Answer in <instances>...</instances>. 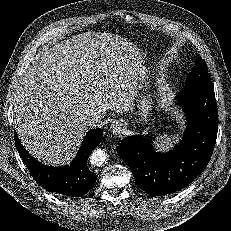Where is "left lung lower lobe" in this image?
<instances>
[{
    "mask_svg": "<svg viewBox=\"0 0 231 231\" xmlns=\"http://www.w3.org/2000/svg\"><path fill=\"white\" fill-rule=\"evenodd\" d=\"M178 100L188 127L171 152L156 153L142 136H128L117 147L137 186L153 196L170 194L190 184L205 170L216 143L218 110L214 87L186 85Z\"/></svg>",
    "mask_w": 231,
    "mask_h": 231,
    "instance_id": "left-lung-lower-lobe-1",
    "label": "left lung lower lobe"
}]
</instances>
